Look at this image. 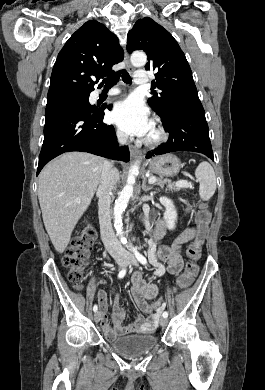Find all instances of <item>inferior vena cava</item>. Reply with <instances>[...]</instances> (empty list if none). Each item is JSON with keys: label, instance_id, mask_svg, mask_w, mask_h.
I'll return each instance as SVG.
<instances>
[{"label": "inferior vena cava", "instance_id": "inferior-vena-cava-1", "mask_svg": "<svg viewBox=\"0 0 265 390\" xmlns=\"http://www.w3.org/2000/svg\"><path fill=\"white\" fill-rule=\"evenodd\" d=\"M117 136L121 144H126L127 135L119 133ZM118 180V170L114 168L111 162L106 160L102 167L100 185L97 190V196L99 198L98 215L102 242L105 249L113 257L124 255V250L114 234L110 217L111 192Z\"/></svg>", "mask_w": 265, "mask_h": 390}]
</instances>
